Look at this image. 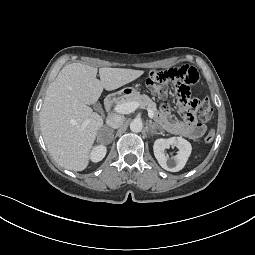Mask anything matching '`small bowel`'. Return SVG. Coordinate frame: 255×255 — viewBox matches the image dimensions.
Here are the masks:
<instances>
[{"mask_svg": "<svg viewBox=\"0 0 255 255\" xmlns=\"http://www.w3.org/2000/svg\"><path fill=\"white\" fill-rule=\"evenodd\" d=\"M159 119L169 133L190 139L200 138L205 131V127L198 123L195 114L192 112L185 113L181 120H171L168 116V111L164 110Z\"/></svg>", "mask_w": 255, "mask_h": 255, "instance_id": "obj_1", "label": "small bowel"}]
</instances>
